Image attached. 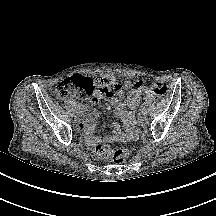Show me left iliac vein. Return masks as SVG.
I'll return each instance as SVG.
<instances>
[{
    "instance_id": "1",
    "label": "left iliac vein",
    "mask_w": 216,
    "mask_h": 216,
    "mask_svg": "<svg viewBox=\"0 0 216 216\" xmlns=\"http://www.w3.org/2000/svg\"><path fill=\"white\" fill-rule=\"evenodd\" d=\"M146 115H147L146 109H145L144 112H141V111H140V113H139V117H140V119H141L142 121L145 119Z\"/></svg>"
}]
</instances>
